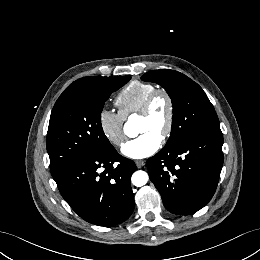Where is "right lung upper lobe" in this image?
I'll use <instances>...</instances> for the list:
<instances>
[{
	"label": "right lung upper lobe",
	"instance_id": "cb5924a9",
	"mask_svg": "<svg viewBox=\"0 0 260 260\" xmlns=\"http://www.w3.org/2000/svg\"><path fill=\"white\" fill-rule=\"evenodd\" d=\"M105 77H85L74 81L69 87L61 94L59 101L71 99L79 94H86L91 88Z\"/></svg>",
	"mask_w": 260,
	"mask_h": 260
}]
</instances>
